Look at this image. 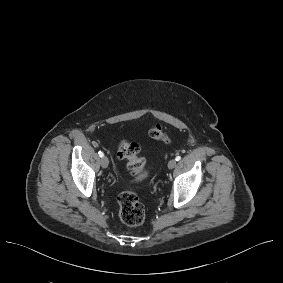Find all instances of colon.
Returning <instances> with one entry per match:
<instances>
[{
  "mask_svg": "<svg viewBox=\"0 0 283 283\" xmlns=\"http://www.w3.org/2000/svg\"><path fill=\"white\" fill-rule=\"evenodd\" d=\"M149 136L157 141L168 142L169 137L159 126H153L149 130ZM139 147L135 143L122 140L118 145V156L128 161V167L133 173H139L144 169L145 160L139 155ZM119 217L124 224L137 227L145 221V208L137 195L133 192H122L117 197Z\"/></svg>",
  "mask_w": 283,
  "mask_h": 283,
  "instance_id": "colon-1",
  "label": "colon"
}]
</instances>
